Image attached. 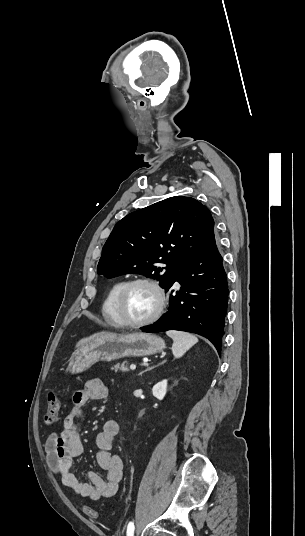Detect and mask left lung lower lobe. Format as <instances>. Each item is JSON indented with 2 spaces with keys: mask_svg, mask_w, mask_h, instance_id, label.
Listing matches in <instances>:
<instances>
[{
  "mask_svg": "<svg viewBox=\"0 0 305 536\" xmlns=\"http://www.w3.org/2000/svg\"><path fill=\"white\" fill-rule=\"evenodd\" d=\"M222 262L213 233L166 286L169 290L174 282L181 284L179 291L170 293L168 311L142 331L157 333L173 329L196 333L209 339L220 355L229 294Z\"/></svg>",
  "mask_w": 305,
  "mask_h": 536,
  "instance_id": "0a47b994",
  "label": "left lung lower lobe"
}]
</instances>
